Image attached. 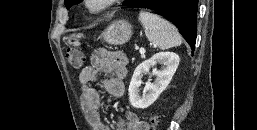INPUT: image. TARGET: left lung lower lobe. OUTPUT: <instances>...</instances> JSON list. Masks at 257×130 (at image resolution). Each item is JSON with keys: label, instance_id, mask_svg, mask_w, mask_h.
Segmentation results:
<instances>
[{"label": "left lung lower lobe", "instance_id": "0a47b994", "mask_svg": "<svg viewBox=\"0 0 257 130\" xmlns=\"http://www.w3.org/2000/svg\"><path fill=\"white\" fill-rule=\"evenodd\" d=\"M133 7L151 9L171 21L195 48L198 0H139Z\"/></svg>", "mask_w": 257, "mask_h": 130}]
</instances>
